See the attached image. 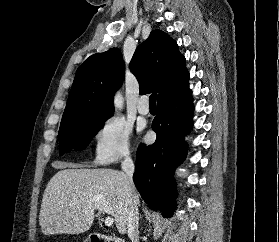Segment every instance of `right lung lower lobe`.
<instances>
[{
    "label": "right lung lower lobe",
    "instance_id": "98d812e1",
    "mask_svg": "<svg viewBox=\"0 0 279 242\" xmlns=\"http://www.w3.org/2000/svg\"><path fill=\"white\" fill-rule=\"evenodd\" d=\"M193 103L187 86L175 95L158 101L152 129L154 144H140L136 155L133 181L144 201L171 217L175 210L174 170L185 159L187 144L183 136L192 127Z\"/></svg>",
    "mask_w": 279,
    "mask_h": 242
}]
</instances>
